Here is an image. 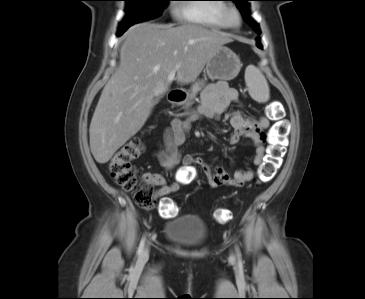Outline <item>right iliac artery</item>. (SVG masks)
<instances>
[{"instance_id": "obj_1", "label": "right iliac artery", "mask_w": 365, "mask_h": 299, "mask_svg": "<svg viewBox=\"0 0 365 299\" xmlns=\"http://www.w3.org/2000/svg\"><path fill=\"white\" fill-rule=\"evenodd\" d=\"M145 240H146V237L143 236L141 241H140V244H139V247H138V250H137V254L139 256H141L142 252H143V249H144V245H145Z\"/></svg>"}]
</instances>
